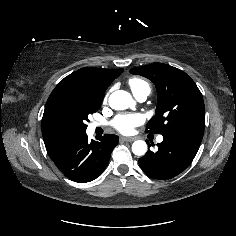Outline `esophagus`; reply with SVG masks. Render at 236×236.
I'll return each mask as SVG.
<instances>
[{
    "label": "esophagus",
    "instance_id": "esophagus-1",
    "mask_svg": "<svg viewBox=\"0 0 236 236\" xmlns=\"http://www.w3.org/2000/svg\"><path fill=\"white\" fill-rule=\"evenodd\" d=\"M121 139L124 140V141H127V142H132V141H134L136 138H135V137H122Z\"/></svg>",
    "mask_w": 236,
    "mask_h": 236
}]
</instances>
